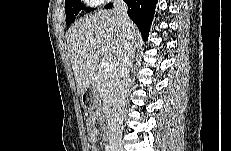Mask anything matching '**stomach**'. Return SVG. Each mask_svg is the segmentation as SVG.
Listing matches in <instances>:
<instances>
[{
    "mask_svg": "<svg viewBox=\"0 0 231 151\" xmlns=\"http://www.w3.org/2000/svg\"><path fill=\"white\" fill-rule=\"evenodd\" d=\"M97 100V90L95 87H90L88 92L82 97V104L85 107H91Z\"/></svg>",
    "mask_w": 231,
    "mask_h": 151,
    "instance_id": "0dacf381",
    "label": "stomach"
}]
</instances>
